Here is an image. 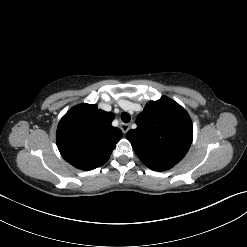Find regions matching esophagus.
I'll use <instances>...</instances> for the list:
<instances>
[{
	"label": "esophagus",
	"mask_w": 247,
	"mask_h": 247,
	"mask_svg": "<svg viewBox=\"0 0 247 247\" xmlns=\"http://www.w3.org/2000/svg\"><path fill=\"white\" fill-rule=\"evenodd\" d=\"M121 129H122L123 133H127L128 130L130 129V125L129 124H122Z\"/></svg>",
	"instance_id": "obj_1"
}]
</instances>
